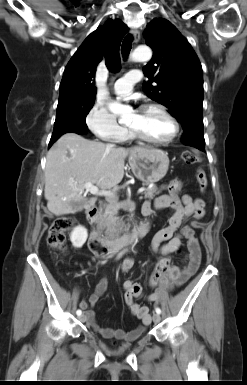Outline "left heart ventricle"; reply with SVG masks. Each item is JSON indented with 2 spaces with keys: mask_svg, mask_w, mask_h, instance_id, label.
Wrapping results in <instances>:
<instances>
[{
  "mask_svg": "<svg viewBox=\"0 0 247 385\" xmlns=\"http://www.w3.org/2000/svg\"><path fill=\"white\" fill-rule=\"evenodd\" d=\"M128 126L155 140L166 139L173 131L169 120L157 110L134 112Z\"/></svg>",
  "mask_w": 247,
  "mask_h": 385,
  "instance_id": "left-heart-ventricle-1",
  "label": "left heart ventricle"
}]
</instances>
